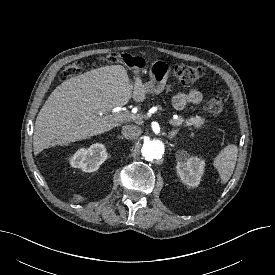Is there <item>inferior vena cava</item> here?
Listing matches in <instances>:
<instances>
[{"label":"inferior vena cava","mask_w":275,"mask_h":275,"mask_svg":"<svg viewBox=\"0 0 275 275\" xmlns=\"http://www.w3.org/2000/svg\"><path fill=\"white\" fill-rule=\"evenodd\" d=\"M121 133L127 139H136L141 134V128L136 125H125L122 127Z\"/></svg>","instance_id":"1"}]
</instances>
